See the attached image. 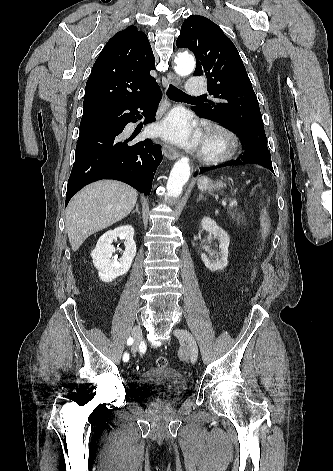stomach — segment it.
I'll list each match as a JSON object with an SVG mask.
<instances>
[{
    "label": "stomach",
    "mask_w": 333,
    "mask_h": 471,
    "mask_svg": "<svg viewBox=\"0 0 333 471\" xmlns=\"http://www.w3.org/2000/svg\"><path fill=\"white\" fill-rule=\"evenodd\" d=\"M197 185L201 191H211L215 188H220L224 186L221 181L213 183V181L208 177H200L198 179Z\"/></svg>",
    "instance_id": "obj_1"
}]
</instances>
